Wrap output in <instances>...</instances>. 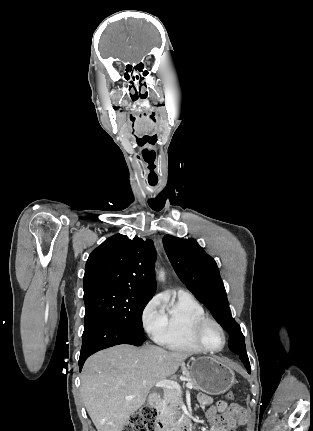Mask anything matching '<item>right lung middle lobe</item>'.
Returning <instances> with one entry per match:
<instances>
[{
	"mask_svg": "<svg viewBox=\"0 0 313 431\" xmlns=\"http://www.w3.org/2000/svg\"><path fill=\"white\" fill-rule=\"evenodd\" d=\"M152 297L124 288L107 289L84 296L85 326L110 320L144 335L142 313Z\"/></svg>",
	"mask_w": 313,
	"mask_h": 431,
	"instance_id": "dd1d6c3e",
	"label": "right lung middle lobe"
}]
</instances>
